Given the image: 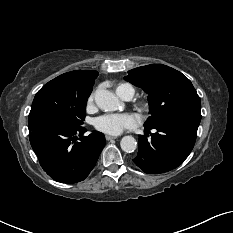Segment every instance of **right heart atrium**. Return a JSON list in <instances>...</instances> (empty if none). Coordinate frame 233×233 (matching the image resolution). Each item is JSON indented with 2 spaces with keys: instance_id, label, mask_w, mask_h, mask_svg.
Here are the masks:
<instances>
[{
  "instance_id": "d8ad5b80",
  "label": "right heart atrium",
  "mask_w": 233,
  "mask_h": 233,
  "mask_svg": "<svg viewBox=\"0 0 233 233\" xmlns=\"http://www.w3.org/2000/svg\"><path fill=\"white\" fill-rule=\"evenodd\" d=\"M93 100V96L90 97L89 101L91 102Z\"/></svg>"
}]
</instances>
